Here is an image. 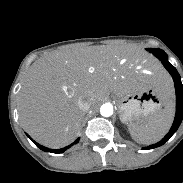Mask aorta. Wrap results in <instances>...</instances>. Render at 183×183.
Returning <instances> with one entry per match:
<instances>
[{"label":"aorta","mask_w":183,"mask_h":183,"mask_svg":"<svg viewBox=\"0 0 183 183\" xmlns=\"http://www.w3.org/2000/svg\"><path fill=\"white\" fill-rule=\"evenodd\" d=\"M100 114L103 117H110L113 114V106L110 103H105L100 107Z\"/></svg>","instance_id":"762f6f07"}]
</instances>
